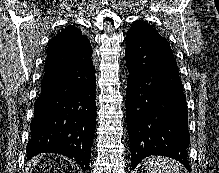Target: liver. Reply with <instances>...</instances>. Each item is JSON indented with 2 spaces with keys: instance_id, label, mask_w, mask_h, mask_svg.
Masks as SVG:
<instances>
[{
  "instance_id": "obj_1",
  "label": "liver",
  "mask_w": 219,
  "mask_h": 173,
  "mask_svg": "<svg viewBox=\"0 0 219 173\" xmlns=\"http://www.w3.org/2000/svg\"><path fill=\"white\" fill-rule=\"evenodd\" d=\"M36 161H37V160H35V162L33 163L34 165L36 164Z\"/></svg>"
}]
</instances>
